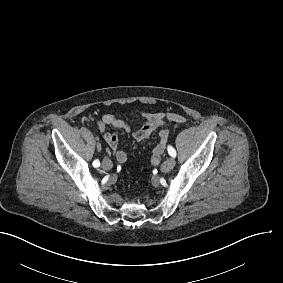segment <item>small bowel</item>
<instances>
[{
	"label": "small bowel",
	"instance_id": "small-bowel-1",
	"mask_svg": "<svg viewBox=\"0 0 283 283\" xmlns=\"http://www.w3.org/2000/svg\"><path fill=\"white\" fill-rule=\"evenodd\" d=\"M143 120V124L138 129H132L130 125L123 119L113 114H102L97 121L98 129L104 133V139L111 150L115 153L116 160L119 163H125L127 154L118 149L119 134L114 132H105L107 127H113L117 130L130 134L136 141H144L152 134L158 131L159 128L165 127L169 122L185 123L186 119L178 113L164 112H138Z\"/></svg>",
	"mask_w": 283,
	"mask_h": 283
}]
</instances>
